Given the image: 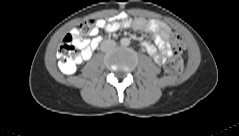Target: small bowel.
<instances>
[{
  "mask_svg": "<svg viewBox=\"0 0 239 136\" xmlns=\"http://www.w3.org/2000/svg\"><path fill=\"white\" fill-rule=\"evenodd\" d=\"M130 26L149 35V39L144 40L142 46L158 65L165 64L167 59L173 55L169 44L172 29L166 23L158 20L136 18L132 21L128 18H122L121 20L107 23L105 20L99 19L97 20V25L91 39L81 38L76 30L72 31V35L75 44L81 49V58L87 60L101 41L99 30L103 29L106 32H115L120 28Z\"/></svg>",
  "mask_w": 239,
  "mask_h": 136,
  "instance_id": "c3829d8e",
  "label": "small bowel"
}]
</instances>
